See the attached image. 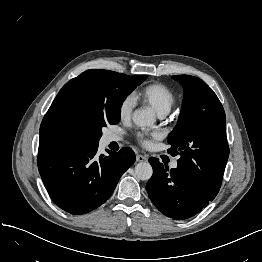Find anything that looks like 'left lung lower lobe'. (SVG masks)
Segmentation results:
<instances>
[{"mask_svg":"<svg viewBox=\"0 0 262 262\" xmlns=\"http://www.w3.org/2000/svg\"><path fill=\"white\" fill-rule=\"evenodd\" d=\"M153 175L146 185L149 198L165 216L185 220L198 214L215 197L205 193L179 168L169 170L159 159H149Z\"/></svg>","mask_w":262,"mask_h":262,"instance_id":"0a47b994","label":"left lung lower lobe"}]
</instances>
